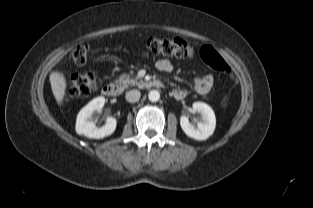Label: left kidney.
Segmentation results:
<instances>
[{
    "mask_svg": "<svg viewBox=\"0 0 313 208\" xmlns=\"http://www.w3.org/2000/svg\"><path fill=\"white\" fill-rule=\"evenodd\" d=\"M193 110L201 114V121L198 122L197 127L193 126L188 117L182 115L180 117V125L184 133L196 140H206L214 132L216 126V118L213 109L203 102H194Z\"/></svg>",
    "mask_w": 313,
    "mask_h": 208,
    "instance_id": "1",
    "label": "left kidney"
}]
</instances>
